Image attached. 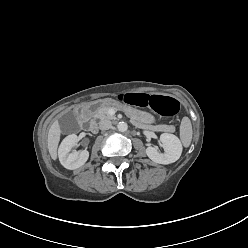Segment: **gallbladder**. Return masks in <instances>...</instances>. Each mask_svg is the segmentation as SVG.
<instances>
[{"instance_id":"bac80fb5","label":"gallbladder","mask_w":248,"mask_h":248,"mask_svg":"<svg viewBox=\"0 0 248 248\" xmlns=\"http://www.w3.org/2000/svg\"><path fill=\"white\" fill-rule=\"evenodd\" d=\"M66 117L68 119V121H65L62 123V127L65 131H69L72 129H77L78 128V124L74 118L73 113L69 112L66 114Z\"/></svg>"}]
</instances>
